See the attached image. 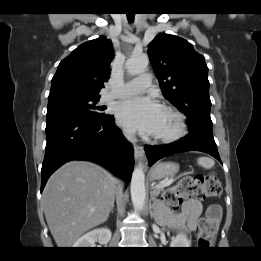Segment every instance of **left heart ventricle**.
Here are the masks:
<instances>
[{
    "label": "left heart ventricle",
    "mask_w": 261,
    "mask_h": 261,
    "mask_svg": "<svg viewBox=\"0 0 261 261\" xmlns=\"http://www.w3.org/2000/svg\"><path fill=\"white\" fill-rule=\"evenodd\" d=\"M175 128V120L165 112L161 126L156 135H165L171 133Z\"/></svg>",
    "instance_id": "b2bd125f"
}]
</instances>
